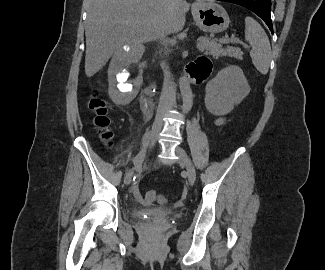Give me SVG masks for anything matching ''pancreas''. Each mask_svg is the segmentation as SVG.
Instances as JSON below:
<instances>
[{"label":"pancreas","mask_w":325,"mask_h":270,"mask_svg":"<svg viewBox=\"0 0 325 270\" xmlns=\"http://www.w3.org/2000/svg\"><path fill=\"white\" fill-rule=\"evenodd\" d=\"M198 48L201 51H205L206 54H210L215 58L219 56H229L234 57L236 59H243V52L237 47H227L225 49L217 43L216 39H207L201 38L199 40Z\"/></svg>","instance_id":"cf45deb5"}]
</instances>
